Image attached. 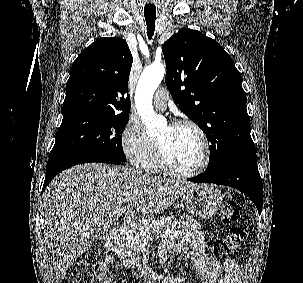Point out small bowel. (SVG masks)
Listing matches in <instances>:
<instances>
[{"mask_svg": "<svg viewBox=\"0 0 303 283\" xmlns=\"http://www.w3.org/2000/svg\"><path fill=\"white\" fill-rule=\"evenodd\" d=\"M189 253L195 262L198 275L197 283H238L242 271L237 263L231 259H225L221 264L213 256L206 252L204 236L198 224L190 217H182L178 228L171 240L163 242L158 249V258L164 261L171 254ZM115 263V257L108 255L99 265L97 280L99 283H110L108 275L110 266ZM222 268L225 275L221 276ZM161 283H181L173 275H167Z\"/></svg>", "mask_w": 303, "mask_h": 283, "instance_id": "1", "label": "small bowel"}]
</instances>
